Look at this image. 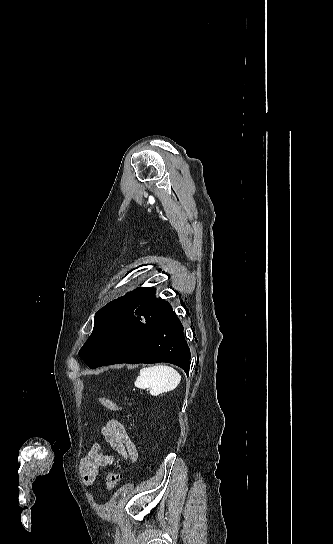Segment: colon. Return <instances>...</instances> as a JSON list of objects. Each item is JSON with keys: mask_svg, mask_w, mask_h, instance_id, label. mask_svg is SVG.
Returning a JSON list of instances; mask_svg holds the SVG:
<instances>
[{"mask_svg": "<svg viewBox=\"0 0 333 544\" xmlns=\"http://www.w3.org/2000/svg\"><path fill=\"white\" fill-rule=\"evenodd\" d=\"M98 401L100 402L101 405H103L106 409L110 411H120L122 409L118 404H116L115 402H113L107 397L100 396L98 397ZM121 477L122 475L119 468L109 472L106 475L107 488L109 490H114L117 487L119 481L121 480Z\"/></svg>", "mask_w": 333, "mask_h": 544, "instance_id": "colon-1", "label": "colon"}]
</instances>
